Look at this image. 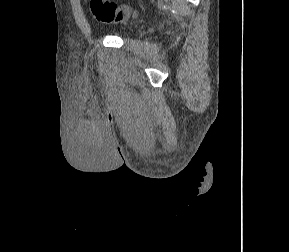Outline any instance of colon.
I'll return each mask as SVG.
<instances>
[{"mask_svg": "<svg viewBox=\"0 0 289 252\" xmlns=\"http://www.w3.org/2000/svg\"><path fill=\"white\" fill-rule=\"evenodd\" d=\"M89 9L93 17L102 23H120L132 15L127 6L117 5L110 0H89Z\"/></svg>", "mask_w": 289, "mask_h": 252, "instance_id": "colon-1", "label": "colon"}]
</instances>
